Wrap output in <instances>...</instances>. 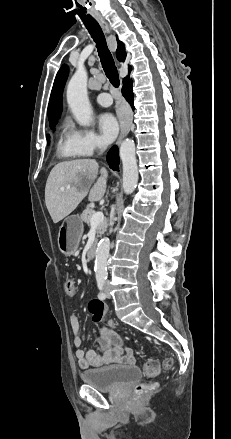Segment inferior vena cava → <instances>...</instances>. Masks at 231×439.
<instances>
[{"label":"inferior vena cava","instance_id":"obj_1","mask_svg":"<svg viewBox=\"0 0 231 439\" xmlns=\"http://www.w3.org/2000/svg\"><path fill=\"white\" fill-rule=\"evenodd\" d=\"M98 146L101 149V151L105 149V145L103 143H98ZM113 223H114V220H113V218H111L110 225H113Z\"/></svg>","mask_w":231,"mask_h":439}]
</instances>
